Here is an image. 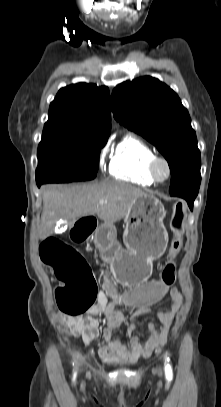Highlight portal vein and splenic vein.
<instances>
[{"label":"portal vein and splenic vein","instance_id":"1","mask_svg":"<svg viewBox=\"0 0 221 407\" xmlns=\"http://www.w3.org/2000/svg\"><path fill=\"white\" fill-rule=\"evenodd\" d=\"M106 202H107L106 200H100V201H99L100 204H104V203H106Z\"/></svg>","mask_w":221,"mask_h":407}]
</instances>
